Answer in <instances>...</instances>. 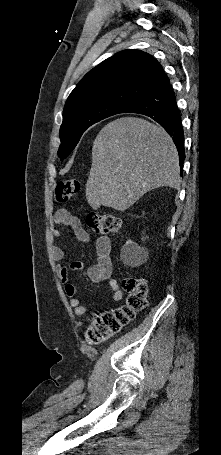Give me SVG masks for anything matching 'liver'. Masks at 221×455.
<instances>
[{
  "instance_id": "liver-1",
  "label": "liver",
  "mask_w": 221,
  "mask_h": 455,
  "mask_svg": "<svg viewBox=\"0 0 221 455\" xmlns=\"http://www.w3.org/2000/svg\"><path fill=\"white\" fill-rule=\"evenodd\" d=\"M177 149L160 126L136 117H122L96 136L86 199L100 206L125 211L146 192L168 186L180 188Z\"/></svg>"
}]
</instances>
